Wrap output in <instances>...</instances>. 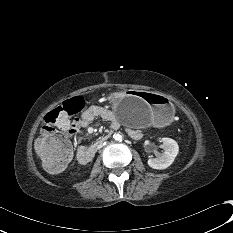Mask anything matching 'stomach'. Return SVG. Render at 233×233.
<instances>
[{
  "label": "stomach",
  "instance_id": "stomach-1",
  "mask_svg": "<svg viewBox=\"0 0 233 233\" xmlns=\"http://www.w3.org/2000/svg\"><path fill=\"white\" fill-rule=\"evenodd\" d=\"M110 99L115 118L129 126L165 124L172 120L175 113L170 100L154 92H115L111 94Z\"/></svg>",
  "mask_w": 233,
  "mask_h": 233
}]
</instances>
